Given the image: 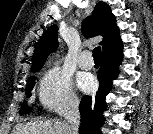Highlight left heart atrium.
Here are the masks:
<instances>
[{
	"mask_svg": "<svg viewBox=\"0 0 153 134\" xmlns=\"http://www.w3.org/2000/svg\"><path fill=\"white\" fill-rule=\"evenodd\" d=\"M79 84L84 91H91L94 89L96 82L91 75L85 74L80 78Z\"/></svg>",
	"mask_w": 153,
	"mask_h": 134,
	"instance_id": "1",
	"label": "left heart atrium"
}]
</instances>
